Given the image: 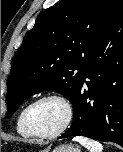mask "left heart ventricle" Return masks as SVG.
I'll return each instance as SVG.
<instances>
[{
    "mask_svg": "<svg viewBox=\"0 0 123 152\" xmlns=\"http://www.w3.org/2000/svg\"><path fill=\"white\" fill-rule=\"evenodd\" d=\"M65 118L66 110L62 103L57 100H45L32 109L30 124L36 132L47 134L58 130Z\"/></svg>",
    "mask_w": 123,
    "mask_h": 152,
    "instance_id": "b2bd125f",
    "label": "left heart ventricle"
}]
</instances>
